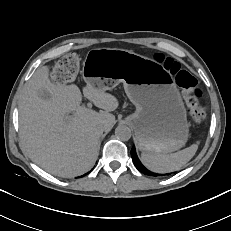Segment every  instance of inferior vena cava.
<instances>
[{
	"mask_svg": "<svg viewBox=\"0 0 231 231\" xmlns=\"http://www.w3.org/2000/svg\"><path fill=\"white\" fill-rule=\"evenodd\" d=\"M99 129H104V124H99Z\"/></svg>",
	"mask_w": 231,
	"mask_h": 231,
	"instance_id": "obj_1",
	"label": "inferior vena cava"
}]
</instances>
